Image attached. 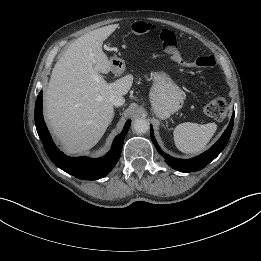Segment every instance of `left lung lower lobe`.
<instances>
[{
    "label": "left lung lower lobe",
    "instance_id": "left-lung-lower-lobe-1",
    "mask_svg": "<svg viewBox=\"0 0 261 261\" xmlns=\"http://www.w3.org/2000/svg\"><path fill=\"white\" fill-rule=\"evenodd\" d=\"M233 121H234V113L232 115L228 127L226 128V130L224 131L220 139L209 150L191 159H177L162 152L154 138L152 126L150 127V136L156 149L160 154L163 155L164 159L166 160L169 166H171L173 169L178 170L180 172H194L204 168L207 164H209L222 152V150L225 148L230 138L232 128H233Z\"/></svg>",
    "mask_w": 261,
    "mask_h": 261
}]
</instances>
